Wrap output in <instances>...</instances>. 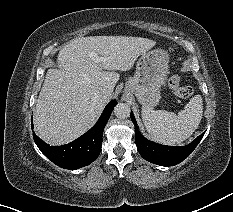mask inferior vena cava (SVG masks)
Wrapping results in <instances>:
<instances>
[{"label":"inferior vena cava","mask_w":233,"mask_h":212,"mask_svg":"<svg viewBox=\"0 0 233 212\" xmlns=\"http://www.w3.org/2000/svg\"><path fill=\"white\" fill-rule=\"evenodd\" d=\"M100 93L105 97H109L111 95V90L108 88H102Z\"/></svg>","instance_id":"1"}]
</instances>
